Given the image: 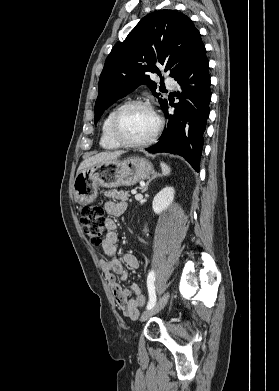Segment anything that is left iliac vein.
I'll return each instance as SVG.
<instances>
[{"label":"left iliac vein","instance_id":"left-iliac-vein-1","mask_svg":"<svg viewBox=\"0 0 279 391\" xmlns=\"http://www.w3.org/2000/svg\"><path fill=\"white\" fill-rule=\"evenodd\" d=\"M170 298V293L167 291L165 292L162 297L157 301V303L149 310L145 311L142 315L140 320L145 321L152 317L153 315L157 314L160 312L164 306L167 304L168 300Z\"/></svg>","mask_w":279,"mask_h":391}]
</instances>
